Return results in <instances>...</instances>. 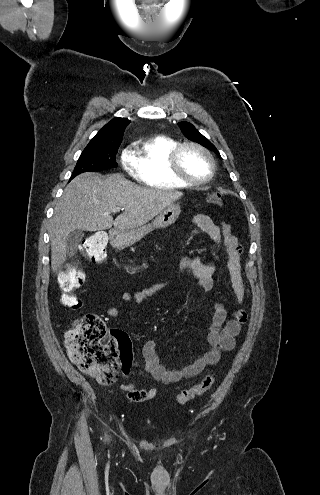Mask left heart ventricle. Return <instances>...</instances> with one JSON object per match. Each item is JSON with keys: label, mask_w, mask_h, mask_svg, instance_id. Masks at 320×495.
Listing matches in <instances>:
<instances>
[{"label": "left heart ventricle", "mask_w": 320, "mask_h": 495, "mask_svg": "<svg viewBox=\"0 0 320 495\" xmlns=\"http://www.w3.org/2000/svg\"><path fill=\"white\" fill-rule=\"evenodd\" d=\"M181 167L186 175L194 179H203L210 171L207 158L194 148H187L182 152Z\"/></svg>", "instance_id": "left-heart-ventricle-1"}]
</instances>
